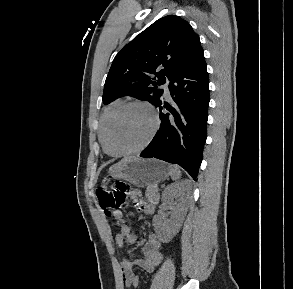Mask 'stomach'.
Segmentation results:
<instances>
[{"label": "stomach", "mask_w": 293, "mask_h": 289, "mask_svg": "<svg viewBox=\"0 0 293 289\" xmlns=\"http://www.w3.org/2000/svg\"><path fill=\"white\" fill-rule=\"evenodd\" d=\"M115 179L128 181L135 186L156 185L170 175V166L157 159L128 157L109 168Z\"/></svg>", "instance_id": "stomach-1"}]
</instances>
